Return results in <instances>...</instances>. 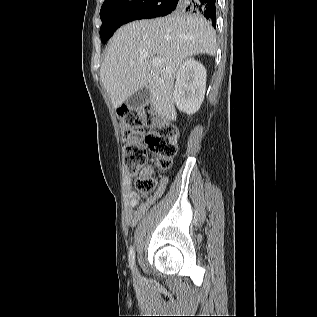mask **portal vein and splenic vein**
<instances>
[{
	"mask_svg": "<svg viewBox=\"0 0 317 317\" xmlns=\"http://www.w3.org/2000/svg\"><path fill=\"white\" fill-rule=\"evenodd\" d=\"M160 63H161V60L158 59V58H154V59H152V61H151V65H152L153 67L158 66Z\"/></svg>",
	"mask_w": 317,
	"mask_h": 317,
	"instance_id": "obj_1",
	"label": "portal vein and splenic vein"
}]
</instances>
